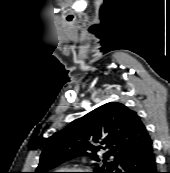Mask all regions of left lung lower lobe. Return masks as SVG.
Here are the masks:
<instances>
[{"label":"left lung lower lobe","instance_id":"left-lung-lower-lobe-1","mask_svg":"<svg viewBox=\"0 0 170 173\" xmlns=\"http://www.w3.org/2000/svg\"><path fill=\"white\" fill-rule=\"evenodd\" d=\"M113 173H158L152 141L133 153L126 154Z\"/></svg>","mask_w":170,"mask_h":173}]
</instances>
